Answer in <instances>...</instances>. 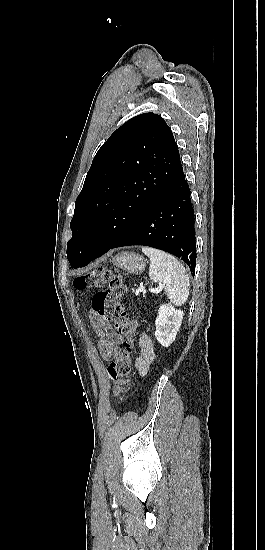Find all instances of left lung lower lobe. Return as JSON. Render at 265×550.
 I'll use <instances>...</instances> for the list:
<instances>
[{"label":"left lung lower lobe","instance_id":"0a47b994","mask_svg":"<svg viewBox=\"0 0 265 550\" xmlns=\"http://www.w3.org/2000/svg\"><path fill=\"white\" fill-rule=\"evenodd\" d=\"M144 245L181 258L195 274L196 242L194 209L182 166L130 227L105 251L86 257V266L110 249ZM78 267V268H79Z\"/></svg>","mask_w":265,"mask_h":550}]
</instances>
